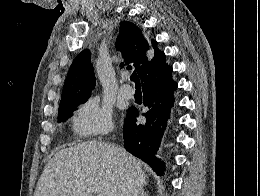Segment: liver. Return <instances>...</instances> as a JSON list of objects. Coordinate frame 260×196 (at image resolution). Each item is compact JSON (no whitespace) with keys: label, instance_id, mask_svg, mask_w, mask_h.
Wrapping results in <instances>:
<instances>
[{"label":"liver","instance_id":"1","mask_svg":"<svg viewBox=\"0 0 260 196\" xmlns=\"http://www.w3.org/2000/svg\"><path fill=\"white\" fill-rule=\"evenodd\" d=\"M141 160L120 146L83 142L54 154L45 166L34 196H120L128 190L145 196L147 184Z\"/></svg>","mask_w":260,"mask_h":196}]
</instances>
